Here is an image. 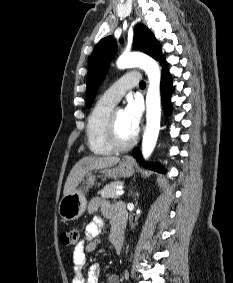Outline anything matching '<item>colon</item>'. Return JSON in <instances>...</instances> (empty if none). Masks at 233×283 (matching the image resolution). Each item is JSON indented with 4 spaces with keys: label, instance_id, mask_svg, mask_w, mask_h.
I'll use <instances>...</instances> for the list:
<instances>
[{
    "label": "colon",
    "instance_id": "obj_1",
    "mask_svg": "<svg viewBox=\"0 0 233 283\" xmlns=\"http://www.w3.org/2000/svg\"><path fill=\"white\" fill-rule=\"evenodd\" d=\"M79 236L80 229L78 227H72L61 234L60 241L64 246L73 247L77 244Z\"/></svg>",
    "mask_w": 233,
    "mask_h": 283
}]
</instances>
